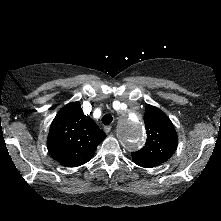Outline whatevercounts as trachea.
<instances>
[{"label": "trachea", "mask_w": 221, "mask_h": 221, "mask_svg": "<svg viewBox=\"0 0 221 221\" xmlns=\"http://www.w3.org/2000/svg\"><path fill=\"white\" fill-rule=\"evenodd\" d=\"M113 120V117L110 114H106L102 117V123L104 125H109Z\"/></svg>", "instance_id": "obj_1"}]
</instances>
